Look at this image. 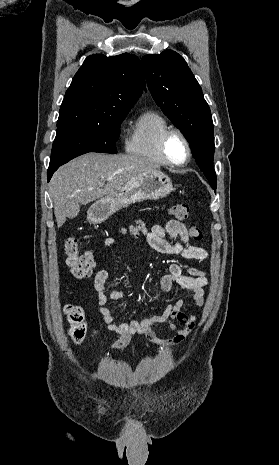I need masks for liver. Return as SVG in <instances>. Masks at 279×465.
<instances>
[{"label": "liver", "mask_w": 279, "mask_h": 465, "mask_svg": "<svg viewBox=\"0 0 279 465\" xmlns=\"http://www.w3.org/2000/svg\"><path fill=\"white\" fill-rule=\"evenodd\" d=\"M150 171L156 170L147 159L128 154L87 153L61 166L52 176L49 188L57 226L61 227L68 217L67 203L86 205L112 195L133 177Z\"/></svg>", "instance_id": "1"}]
</instances>
